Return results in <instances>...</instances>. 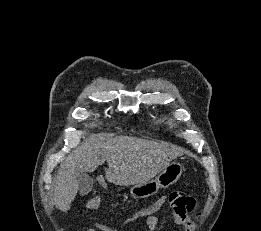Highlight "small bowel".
<instances>
[{
    "label": "small bowel",
    "instance_id": "obj_1",
    "mask_svg": "<svg viewBox=\"0 0 261 231\" xmlns=\"http://www.w3.org/2000/svg\"><path fill=\"white\" fill-rule=\"evenodd\" d=\"M100 200L95 197H91L85 204V210L87 212H93L99 208ZM136 216H145L146 227L149 231H156L158 229L159 220L152 212H145V208H142L136 213ZM174 220L177 224L184 225V231H196L197 224L195 220L182 221L180 218L174 216ZM86 231H117L115 227L97 223L94 228H88Z\"/></svg>",
    "mask_w": 261,
    "mask_h": 231
}]
</instances>
